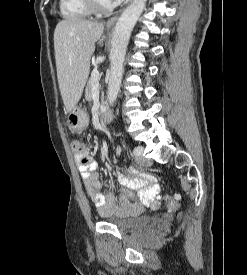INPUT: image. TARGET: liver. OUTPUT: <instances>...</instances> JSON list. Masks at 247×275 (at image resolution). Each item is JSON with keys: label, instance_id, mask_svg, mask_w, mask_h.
I'll use <instances>...</instances> for the list:
<instances>
[{"label": "liver", "instance_id": "liver-1", "mask_svg": "<svg viewBox=\"0 0 247 275\" xmlns=\"http://www.w3.org/2000/svg\"><path fill=\"white\" fill-rule=\"evenodd\" d=\"M104 24L80 18L60 21L54 31V49L60 93L67 113L80 100L90 71L95 42Z\"/></svg>", "mask_w": 247, "mask_h": 275}]
</instances>
